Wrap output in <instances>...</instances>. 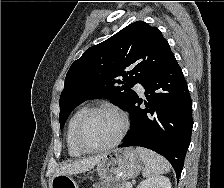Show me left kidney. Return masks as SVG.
Returning <instances> with one entry per match:
<instances>
[{
    "mask_svg": "<svg viewBox=\"0 0 224 188\" xmlns=\"http://www.w3.org/2000/svg\"><path fill=\"white\" fill-rule=\"evenodd\" d=\"M137 188H171V182L165 176H154L143 180Z\"/></svg>",
    "mask_w": 224,
    "mask_h": 188,
    "instance_id": "left-kidney-1",
    "label": "left kidney"
}]
</instances>
